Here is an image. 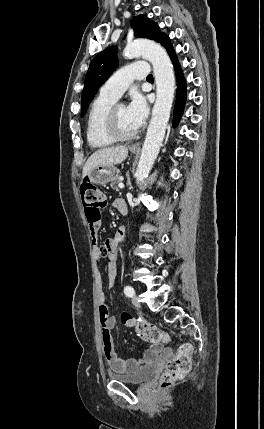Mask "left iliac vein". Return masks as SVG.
<instances>
[{
    "label": "left iliac vein",
    "instance_id": "left-iliac-vein-1",
    "mask_svg": "<svg viewBox=\"0 0 264 429\" xmlns=\"http://www.w3.org/2000/svg\"><path fill=\"white\" fill-rule=\"evenodd\" d=\"M132 303H133L136 307H139V306H140V303H139L138 297H137L135 294L132 296Z\"/></svg>",
    "mask_w": 264,
    "mask_h": 429
}]
</instances>
